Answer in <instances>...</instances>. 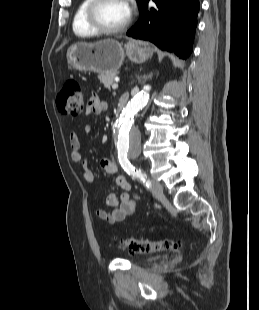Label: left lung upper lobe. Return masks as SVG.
Listing matches in <instances>:
<instances>
[{"label":"left lung upper lobe","instance_id":"left-lung-upper-lobe-1","mask_svg":"<svg viewBox=\"0 0 259 310\" xmlns=\"http://www.w3.org/2000/svg\"><path fill=\"white\" fill-rule=\"evenodd\" d=\"M142 0H137L138 4L141 2Z\"/></svg>","mask_w":259,"mask_h":310}]
</instances>
